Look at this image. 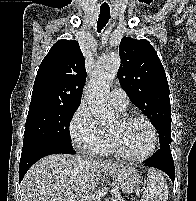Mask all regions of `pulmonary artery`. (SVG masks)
<instances>
[{
  "instance_id": "pulmonary-artery-1",
  "label": "pulmonary artery",
  "mask_w": 196,
  "mask_h": 201,
  "mask_svg": "<svg viewBox=\"0 0 196 201\" xmlns=\"http://www.w3.org/2000/svg\"><path fill=\"white\" fill-rule=\"evenodd\" d=\"M111 104L120 111L126 110L129 99L125 91L121 88H114L110 93Z\"/></svg>"
}]
</instances>
